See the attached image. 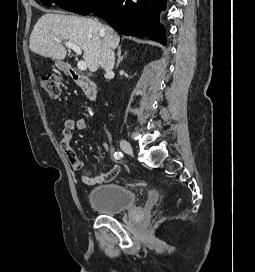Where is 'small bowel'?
<instances>
[{
	"mask_svg": "<svg viewBox=\"0 0 255 272\" xmlns=\"http://www.w3.org/2000/svg\"><path fill=\"white\" fill-rule=\"evenodd\" d=\"M86 126L87 120L84 117H79L76 120L72 118H66L64 119V128L59 136L61 150L66 155L71 166L76 170L80 169L83 163L79 156L76 154V152L71 148L70 140L76 133L83 131L86 128ZM103 146L106 151L109 150L108 143L104 142ZM119 171L120 167L119 165L116 164L105 174L95 176L83 175L81 179L84 184L94 186L112 181L113 179L116 178Z\"/></svg>",
	"mask_w": 255,
	"mask_h": 272,
	"instance_id": "obj_1",
	"label": "small bowel"
}]
</instances>
